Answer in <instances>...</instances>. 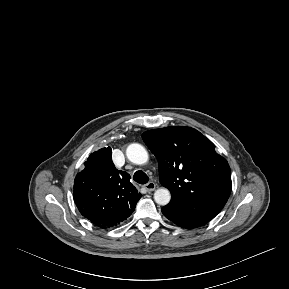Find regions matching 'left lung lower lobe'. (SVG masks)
Segmentation results:
<instances>
[{
	"instance_id": "0a47b994",
	"label": "left lung lower lobe",
	"mask_w": 289,
	"mask_h": 289,
	"mask_svg": "<svg viewBox=\"0 0 289 289\" xmlns=\"http://www.w3.org/2000/svg\"><path fill=\"white\" fill-rule=\"evenodd\" d=\"M162 213L176 225L188 229L200 227L218 214L197 203L173 199L162 207Z\"/></svg>"
}]
</instances>
